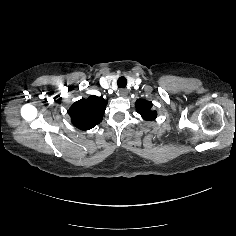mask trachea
Segmentation results:
<instances>
[{
    "label": "trachea",
    "mask_w": 236,
    "mask_h": 236,
    "mask_svg": "<svg viewBox=\"0 0 236 236\" xmlns=\"http://www.w3.org/2000/svg\"><path fill=\"white\" fill-rule=\"evenodd\" d=\"M117 85L119 88H125L127 85V80L124 76L119 77L117 81Z\"/></svg>",
    "instance_id": "trachea-1"
}]
</instances>
